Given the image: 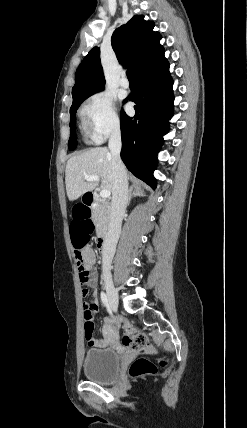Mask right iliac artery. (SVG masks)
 I'll return each mask as SVG.
<instances>
[{"label":"right iliac artery","instance_id":"1","mask_svg":"<svg viewBox=\"0 0 247 428\" xmlns=\"http://www.w3.org/2000/svg\"><path fill=\"white\" fill-rule=\"evenodd\" d=\"M101 301H102V303H103L104 306L108 305V298H107L106 294L103 291L101 292Z\"/></svg>","mask_w":247,"mask_h":428}]
</instances>
